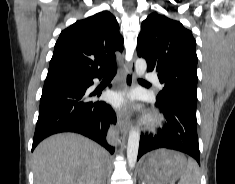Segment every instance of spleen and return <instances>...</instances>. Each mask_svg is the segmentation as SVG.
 <instances>
[{"mask_svg": "<svg viewBox=\"0 0 235 184\" xmlns=\"http://www.w3.org/2000/svg\"><path fill=\"white\" fill-rule=\"evenodd\" d=\"M199 166L193 158L187 162V170L184 176H181L179 184H199Z\"/></svg>", "mask_w": 235, "mask_h": 184, "instance_id": "1", "label": "spleen"}]
</instances>
